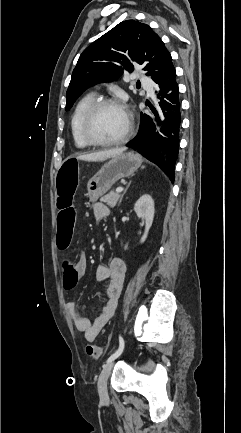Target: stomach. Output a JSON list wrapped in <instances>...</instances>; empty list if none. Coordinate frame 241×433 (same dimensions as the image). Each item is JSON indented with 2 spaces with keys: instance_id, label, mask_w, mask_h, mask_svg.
<instances>
[{
  "instance_id": "1",
  "label": "stomach",
  "mask_w": 241,
  "mask_h": 433,
  "mask_svg": "<svg viewBox=\"0 0 241 433\" xmlns=\"http://www.w3.org/2000/svg\"><path fill=\"white\" fill-rule=\"evenodd\" d=\"M141 163V157L134 152L120 153L114 156L89 180L87 195L90 201L95 202L109 191L118 180L131 176L137 171Z\"/></svg>"
}]
</instances>
